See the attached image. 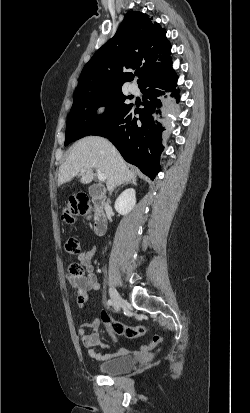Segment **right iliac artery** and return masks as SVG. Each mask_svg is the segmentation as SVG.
<instances>
[{
    "mask_svg": "<svg viewBox=\"0 0 250 413\" xmlns=\"http://www.w3.org/2000/svg\"><path fill=\"white\" fill-rule=\"evenodd\" d=\"M106 304L107 306H112L113 302L111 300H108Z\"/></svg>",
    "mask_w": 250,
    "mask_h": 413,
    "instance_id": "obj_1",
    "label": "right iliac artery"
}]
</instances>
